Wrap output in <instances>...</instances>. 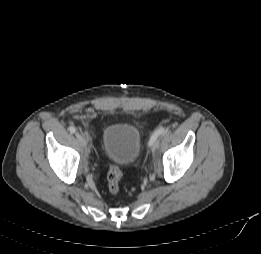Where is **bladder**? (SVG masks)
<instances>
[{"mask_svg":"<svg viewBox=\"0 0 261 254\" xmlns=\"http://www.w3.org/2000/svg\"><path fill=\"white\" fill-rule=\"evenodd\" d=\"M141 139L139 130L130 124H113L107 127L102 137L104 154L120 165L133 163L139 155Z\"/></svg>","mask_w":261,"mask_h":254,"instance_id":"obj_1","label":"bladder"}]
</instances>
